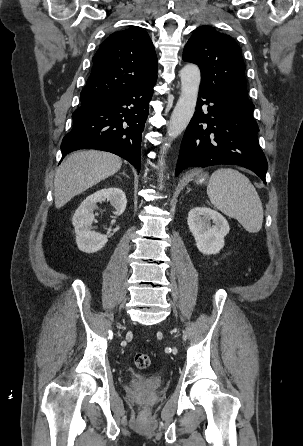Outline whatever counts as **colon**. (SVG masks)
<instances>
[{"mask_svg":"<svg viewBox=\"0 0 303 446\" xmlns=\"http://www.w3.org/2000/svg\"><path fill=\"white\" fill-rule=\"evenodd\" d=\"M133 360H134L135 366L141 370L147 369L151 365L150 357L146 353H143V352L135 353Z\"/></svg>","mask_w":303,"mask_h":446,"instance_id":"1","label":"colon"}]
</instances>
